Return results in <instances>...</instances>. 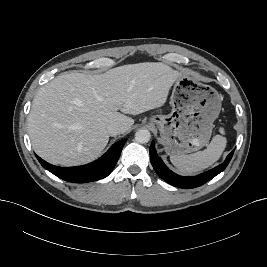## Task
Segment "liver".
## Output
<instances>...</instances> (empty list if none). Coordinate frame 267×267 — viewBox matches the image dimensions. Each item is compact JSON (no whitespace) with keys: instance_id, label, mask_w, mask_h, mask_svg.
<instances>
[{"instance_id":"liver-1","label":"liver","mask_w":267,"mask_h":267,"mask_svg":"<svg viewBox=\"0 0 267 267\" xmlns=\"http://www.w3.org/2000/svg\"><path fill=\"white\" fill-rule=\"evenodd\" d=\"M178 73L160 62L129 64L100 75L63 73L42 86L28 116L34 151L44 160L76 166L106 147L107 126L126 132L137 115L165 104ZM120 111V112H118Z\"/></svg>"}]
</instances>
